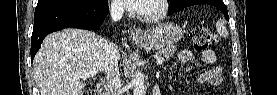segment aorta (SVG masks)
Here are the masks:
<instances>
[{"mask_svg": "<svg viewBox=\"0 0 277 95\" xmlns=\"http://www.w3.org/2000/svg\"><path fill=\"white\" fill-rule=\"evenodd\" d=\"M133 95H145L146 86L144 84V77L140 71H136L132 79Z\"/></svg>", "mask_w": 277, "mask_h": 95, "instance_id": "1", "label": "aorta"}]
</instances>
